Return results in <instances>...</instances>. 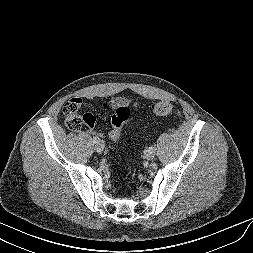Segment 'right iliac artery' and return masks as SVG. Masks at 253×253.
<instances>
[{"instance_id":"obj_1","label":"right iliac artery","mask_w":253,"mask_h":253,"mask_svg":"<svg viewBox=\"0 0 253 253\" xmlns=\"http://www.w3.org/2000/svg\"><path fill=\"white\" fill-rule=\"evenodd\" d=\"M99 140H100V139H99L98 137H94V138H93V142H94V143H98Z\"/></svg>"}]
</instances>
